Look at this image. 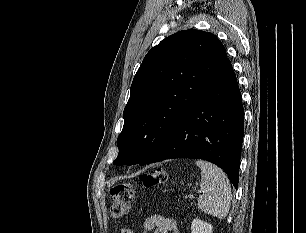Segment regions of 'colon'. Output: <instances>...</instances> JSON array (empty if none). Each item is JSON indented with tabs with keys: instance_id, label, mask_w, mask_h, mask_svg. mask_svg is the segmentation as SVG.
I'll list each match as a JSON object with an SVG mask.
<instances>
[{
	"instance_id": "colon-1",
	"label": "colon",
	"mask_w": 306,
	"mask_h": 233,
	"mask_svg": "<svg viewBox=\"0 0 306 233\" xmlns=\"http://www.w3.org/2000/svg\"><path fill=\"white\" fill-rule=\"evenodd\" d=\"M166 179L163 168H157L146 172L140 176V180L145 187H156ZM111 203L109 213L112 219L123 218L130 210L135 196L134 186L131 183H118L110 188Z\"/></svg>"
}]
</instances>
